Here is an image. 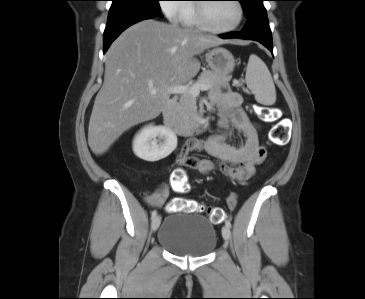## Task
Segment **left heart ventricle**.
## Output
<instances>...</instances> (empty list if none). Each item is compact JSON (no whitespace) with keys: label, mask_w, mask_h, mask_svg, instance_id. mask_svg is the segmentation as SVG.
Listing matches in <instances>:
<instances>
[{"label":"left heart ventricle","mask_w":365,"mask_h":299,"mask_svg":"<svg viewBox=\"0 0 365 299\" xmlns=\"http://www.w3.org/2000/svg\"><path fill=\"white\" fill-rule=\"evenodd\" d=\"M207 14L210 24L216 28L231 27L239 17V11L234 1L207 3Z\"/></svg>","instance_id":"b2bd125f"}]
</instances>
